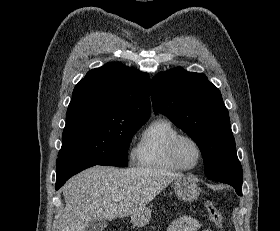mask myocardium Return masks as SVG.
<instances>
[{
	"label": "myocardium",
	"mask_w": 280,
	"mask_h": 231,
	"mask_svg": "<svg viewBox=\"0 0 280 231\" xmlns=\"http://www.w3.org/2000/svg\"><path fill=\"white\" fill-rule=\"evenodd\" d=\"M190 139L192 140L193 142H195V144L197 145L198 149H199V153H200V160H199V163L198 165L193 168V169H189V168H186L184 167L181 162L179 161L178 159V156H177V147H178V144L181 140L183 139ZM169 157L171 159V161L182 171H185V172H194V171H197L199 170L204 161H205V151H204V147L202 145V143L196 138L194 137L193 135H190V134H187V133H179L178 135H176L173 140L171 141L170 145H169Z\"/></svg>",
	"instance_id": "f54148a6"
}]
</instances>
